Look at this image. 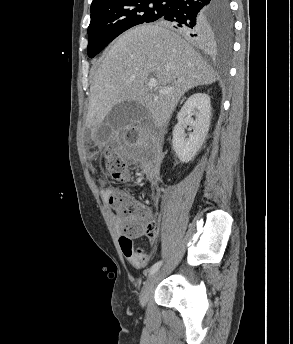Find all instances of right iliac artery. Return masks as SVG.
Returning <instances> with one entry per match:
<instances>
[{"label":"right iliac artery","mask_w":293,"mask_h":344,"mask_svg":"<svg viewBox=\"0 0 293 344\" xmlns=\"http://www.w3.org/2000/svg\"><path fill=\"white\" fill-rule=\"evenodd\" d=\"M162 261H159L155 263L150 269H149V275H153L161 266Z\"/></svg>","instance_id":"obj_1"}]
</instances>
